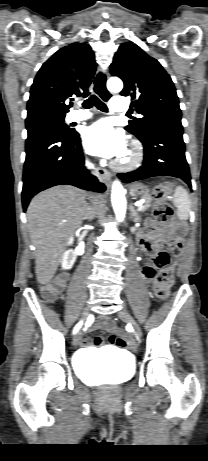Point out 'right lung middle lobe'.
<instances>
[{
  "label": "right lung middle lobe",
  "mask_w": 208,
  "mask_h": 461,
  "mask_svg": "<svg viewBox=\"0 0 208 461\" xmlns=\"http://www.w3.org/2000/svg\"><path fill=\"white\" fill-rule=\"evenodd\" d=\"M65 117L53 116H31L26 118L27 139L36 134L47 130H58L63 133H68L71 129L64 122Z\"/></svg>",
  "instance_id": "1"
}]
</instances>
